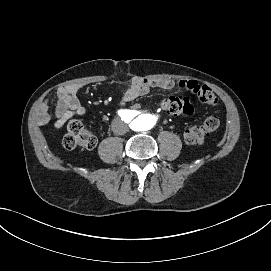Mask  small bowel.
I'll list each match as a JSON object with an SVG mask.
<instances>
[{
  "label": "small bowel",
  "mask_w": 271,
  "mask_h": 271,
  "mask_svg": "<svg viewBox=\"0 0 271 271\" xmlns=\"http://www.w3.org/2000/svg\"><path fill=\"white\" fill-rule=\"evenodd\" d=\"M85 84H70L57 89V102L53 113L47 101H44L37 112V122L40 126H47L54 122V127L60 129L74 116H83L86 109L78 99L79 93L85 88ZM200 85L194 80H172V79H143L134 78L129 82L128 87L123 91L120 104L133 101L146 94L152 88H161L164 90L182 89L183 91L197 94Z\"/></svg>",
  "instance_id": "obj_1"
}]
</instances>
